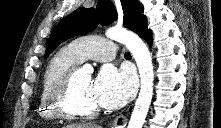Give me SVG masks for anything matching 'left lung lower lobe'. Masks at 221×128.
<instances>
[{
  "label": "left lung lower lobe",
  "mask_w": 221,
  "mask_h": 128,
  "mask_svg": "<svg viewBox=\"0 0 221 128\" xmlns=\"http://www.w3.org/2000/svg\"><path fill=\"white\" fill-rule=\"evenodd\" d=\"M142 38H145L146 42L151 45L152 44V33L149 30Z\"/></svg>",
  "instance_id": "0a47b994"
}]
</instances>
